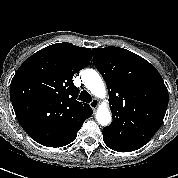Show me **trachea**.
Instances as JSON below:
<instances>
[{"mask_svg": "<svg viewBox=\"0 0 178 178\" xmlns=\"http://www.w3.org/2000/svg\"><path fill=\"white\" fill-rule=\"evenodd\" d=\"M79 99L81 101L87 102V103L92 101L91 95L86 90L81 91V93L79 95Z\"/></svg>", "mask_w": 178, "mask_h": 178, "instance_id": "1", "label": "trachea"}]
</instances>
